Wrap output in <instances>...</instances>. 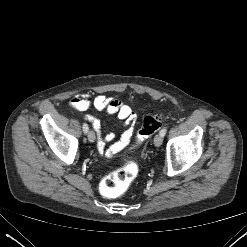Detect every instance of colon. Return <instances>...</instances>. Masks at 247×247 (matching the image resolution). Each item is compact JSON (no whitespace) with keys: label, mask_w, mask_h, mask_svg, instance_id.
<instances>
[{"label":"colon","mask_w":247,"mask_h":247,"mask_svg":"<svg viewBox=\"0 0 247 247\" xmlns=\"http://www.w3.org/2000/svg\"><path fill=\"white\" fill-rule=\"evenodd\" d=\"M161 127V118L156 113L147 115L139 129L136 141L142 143ZM137 165L133 161H128L121 168L108 174L101 182V191L104 196L113 198L121 195L131 184L137 175Z\"/></svg>","instance_id":"1"}]
</instances>
